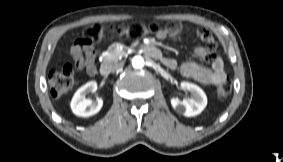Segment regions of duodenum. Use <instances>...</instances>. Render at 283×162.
I'll return each instance as SVG.
<instances>
[{
	"instance_id": "410a0bca",
	"label": "duodenum",
	"mask_w": 283,
	"mask_h": 162,
	"mask_svg": "<svg viewBox=\"0 0 283 162\" xmlns=\"http://www.w3.org/2000/svg\"><path fill=\"white\" fill-rule=\"evenodd\" d=\"M143 50L144 52L152 57V58H155V59H162V54L160 52V50L158 48H156L154 45L152 44H145L143 46ZM111 72V66L109 63H104L102 66H101V74L106 76L108 75L109 73Z\"/></svg>"
}]
</instances>
